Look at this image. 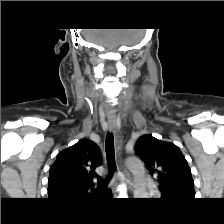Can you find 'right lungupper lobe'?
<instances>
[{
	"label": "right lung upper lobe",
	"instance_id": "1",
	"mask_svg": "<svg viewBox=\"0 0 224 224\" xmlns=\"http://www.w3.org/2000/svg\"><path fill=\"white\" fill-rule=\"evenodd\" d=\"M101 163L100 149L92 141L82 139L61 151L50 168L49 199L71 204L98 196L99 190L92 180L96 177L98 184L102 183L103 179L95 173Z\"/></svg>",
	"mask_w": 224,
	"mask_h": 224
}]
</instances>
